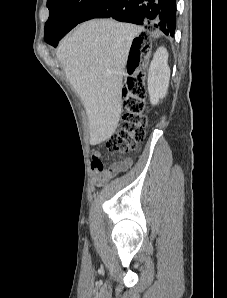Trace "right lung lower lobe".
<instances>
[{"mask_svg": "<svg viewBox=\"0 0 227 298\" xmlns=\"http://www.w3.org/2000/svg\"><path fill=\"white\" fill-rule=\"evenodd\" d=\"M110 17L121 22L155 26L166 35L173 36L176 27V0H101L81 22ZM67 32L53 33L46 42L56 47Z\"/></svg>", "mask_w": 227, "mask_h": 298, "instance_id": "obj_1", "label": "right lung lower lobe"}]
</instances>
